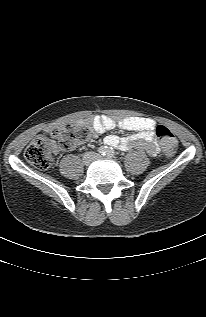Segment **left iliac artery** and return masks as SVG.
<instances>
[{"mask_svg":"<svg viewBox=\"0 0 206 317\" xmlns=\"http://www.w3.org/2000/svg\"><path fill=\"white\" fill-rule=\"evenodd\" d=\"M107 156L110 157V158L115 157V152H114L113 148H108L107 149Z\"/></svg>","mask_w":206,"mask_h":317,"instance_id":"obj_1","label":"left iliac artery"}]
</instances>
